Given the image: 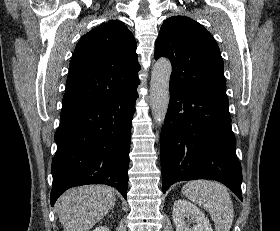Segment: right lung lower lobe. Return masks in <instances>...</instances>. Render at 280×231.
Segmentation results:
<instances>
[{"instance_id": "1", "label": "right lung lower lobe", "mask_w": 280, "mask_h": 231, "mask_svg": "<svg viewBox=\"0 0 280 231\" xmlns=\"http://www.w3.org/2000/svg\"><path fill=\"white\" fill-rule=\"evenodd\" d=\"M137 91L61 112L55 133L50 202L84 184L115 187L126 199L131 127Z\"/></svg>"}]
</instances>
